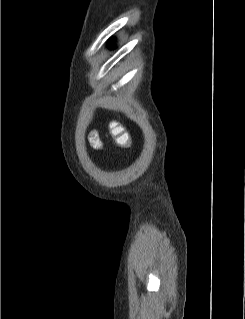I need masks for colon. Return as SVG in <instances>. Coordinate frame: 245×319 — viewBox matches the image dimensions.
<instances>
[{
    "instance_id": "1",
    "label": "colon",
    "mask_w": 245,
    "mask_h": 319,
    "mask_svg": "<svg viewBox=\"0 0 245 319\" xmlns=\"http://www.w3.org/2000/svg\"><path fill=\"white\" fill-rule=\"evenodd\" d=\"M109 134L113 138L114 143L117 147L126 148L130 145L129 136L120 125H110Z\"/></svg>"
}]
</instances>
